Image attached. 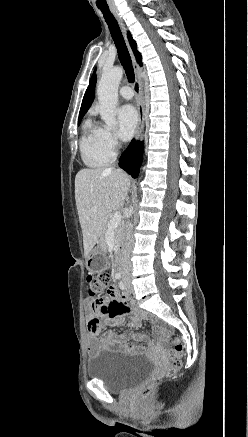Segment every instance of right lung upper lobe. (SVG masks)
Instances as JSON below:
<instances>
[{
  "label": "right lung upper lobe",
  "instance_id": "obj_1",
  "mask_svg": "<svg viewBox=\"0 0 248 437\" xmlns=\"http://www.w3.org/2000/svg\"><path fill=\"white\" fill-rule=\"evenodd\" d=\"M128 39H129L130 45L134 51V54L136 56L137 62L141 66L142 65L141 54L137 51L136 42L132 39L130 34H128ZM95 84H96V77L93 76L91 78L89 86L85 92V95H84V98L82 101V105H81V109H80V113H79V117L84 116V114L87 112V110L89 109V107L92 104V101L94 99Z\"/></svg>",
  "mask_w": 248,
  "mask_h": 437
}]
</instances>
